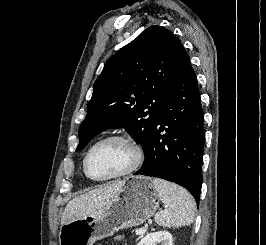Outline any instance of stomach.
<instances>
[{"instance_id":"0dacf381","label":"stomach","mask_w":266,"mask_h":245,"mask_svg":"<svg viewBox=\"0 0 266 245\" xmlns=\"http://www.w3.org/2000/svg\"><path fill=\"white\" fill-rule=\"evenodd\" d=\"M159 207L158 193L150 177H126L109 207L62 225L60 245H94L120 229L137 227L150 219Z\"/></svg>"}]
</instances>
